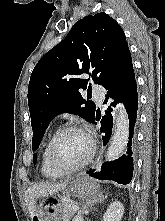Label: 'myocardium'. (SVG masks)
Segmentation results:
<instances>
[{
	"label": "myocardium",
	"mask_w": 165,
	"mask_h": 221,
	"mask_svg": "<svg viewBox=\"0 0 165 221\" xmlns=\"http://www.w3.org/2000/svg\"><path fill=\"white\" fill-rule=\"evenodd\" d=\"M71 131H81L87 135L90 141V150L87 156L78 164L72 167H62L60 166L54 156V151H55V146L58 140L66 133L71 132ZM96 153V141L94 137L91 135V133L82 125L79 124H70L66 125L62 128H60L56 133L53 135V137L50 140L49 146H48V160L50 163V166L55 170L56 172L60 174H68V173H73L76 172L83 167H85L94 157Z\"/></svg>",
	"instance_id": "obj_1"
}]
</instances>
